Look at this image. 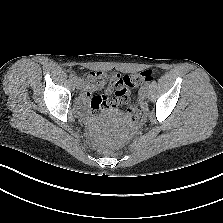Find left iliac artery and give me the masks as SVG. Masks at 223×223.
I'll list each match as a JSON object with an SVG mask.
<instances>
[{
	"label": "left iliac artery",
	"instance_id": "left-iliac-artery-1",
	"mask_svg": "<svg viewBox=\"0 0 223 223\" xmlns=\"http://www.w3.org/2000/svg\"><path fill=\"white\" fill-rule=\"evenodd\" d=\"M147 86H148V83L145 84V87H147Z\"/></svg>",
	"mask_w": 223,
	"mask_h": 223
}]
</instances>
